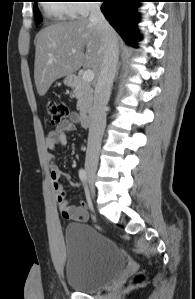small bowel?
Instances as JSON below:
<instances>
[{
    "label": "small bowel",
    "instance_id": "small-bowel-1",
    "mask_svg": "<svg viewBox=\"0 0 195 299\" xmlns=\"http://www.w3.org/2000/svg\"><path fill=\"white\" fill-rule=\"evenodd\" d=\"M79 122V116L76 112H71L66 120H63L60 125L52 131L46 141L47 147L50 150L63 147L67 143V134L74 131ZM65 179L71 182V176L62 172L55 163H51V180L53 188L57 195V201L59 204V211L63 218L84 222L87 221L89 214L84 205L74 206L71 205L69 199L66 196V192L59 180Z\"/></svg>",
    "mask_w": 195,
    "mask_h": 299
}]
</instances>
